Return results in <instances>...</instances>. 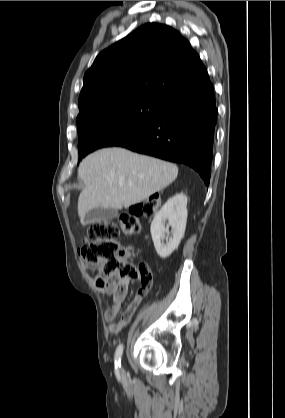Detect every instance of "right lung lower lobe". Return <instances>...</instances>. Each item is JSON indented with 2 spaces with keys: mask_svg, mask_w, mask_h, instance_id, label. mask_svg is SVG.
Segmentation results:
<instances>
[{
  "mask_svg": "<svg viewBox=\"0 0 285 418\" xmlns=\"http://www.w3.org/2000/svg\"><path fill=\"white\" fill-rule=\"evenodd\" d=\"M217 107L207 75L197 86L175 96L148 126L115 146L195 169L209 185Z\"/></svg>",
  "mask_w": 285,
  "mask_h": 418,
  "instance_id": "1",
  "label": "right lung lower lobe"
}]
</instances>
